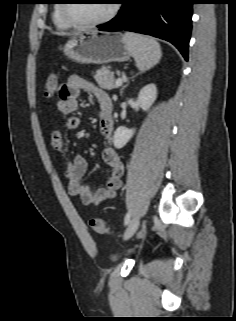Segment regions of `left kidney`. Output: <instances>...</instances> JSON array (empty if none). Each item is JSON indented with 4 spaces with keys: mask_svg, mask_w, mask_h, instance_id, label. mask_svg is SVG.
<instances>
[{
    "mask_svg": "<svg viewBox=\"0 0 236 321\" xmlns=\"http://www.w3.org/2000/svg\"><path fill=\"white\" fill-rule=\"evenodd\" d=\"M157 98L155 84H148L141 89L137 98V104L143 111H148ZM135 133V129L118 127L114 132L113 144L116 148L124 147Z\"/></svg>",
    "mask_w": 236,
    "mask_h": 321,
    "instance_id": "1",
    "label": "left kidney"
}]
</instances>
